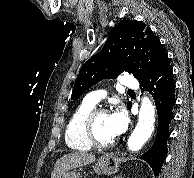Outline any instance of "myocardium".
<instances>
[{
  "label": "myocardium",
  "instance_id": "myocardium-1",
  "mask_svg": "<svg viewBox=\"0 0 194 178\" xmlns=\"http://www.w3.org/2000/svg\"><path fill=\"white\" fill-rule=\"evenodd\" d=\"M108 109L104 107H94L85 117L83 122V130L86 139L90 142L92 146L99 147V148H108L113 146L117 138L114 137L109 141H101L98 139L95 133V120L101 114H108Z\"/></svg>",
  "mask_w": 194,
  "mask_h": 178
}]
</instances>
